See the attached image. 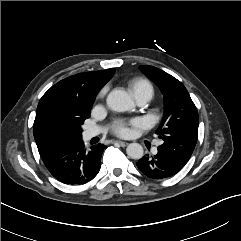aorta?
I'll list each match as a JSON object with an SVG mask.
<instances>
[{
	"instance_id": "762f6f07",
	"label": "aorta",
	"mask_w": 241,
	"mask_h": 241,
	"mask_svg": "<svg viewBox=\"0 0 241 241\" xmlns=\"http://www.w3.org/2000/svg\"><path fill=\"white\" fill-rule=\"evenodd\" d=\"M108 107L117 112L129 111L134 108V102L126 91L114 89L107 96ZM127 155L132 159L143 157V147L138 143H131L126 148Z\"/></svg>"
}]
</instances>
